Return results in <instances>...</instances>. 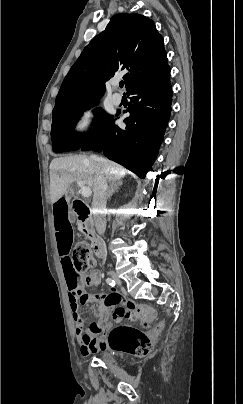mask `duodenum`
I'll use <instances>...</instances> for the list:
<instances>
[{"label": "duodenum", "instance_id": "1", "mask_svg": "<svg viewBox=\"0 0 243 404\" xmlns=\"http://www.w3.org/2000/svg\"><path fill=\"white\" fill-rule=\"evenodd\" d=\"M72 207H73L74 213L81 221L84 222L87 220L88 215H89V208L84 202L76 199L73 201ZM93 249H94V253L97 258H99V259L103 258L104 249H103V245L100 240H98V239L93 240Z\"/></svg>", "mask_w": 243, "mask_h": 404}]
</instances>
